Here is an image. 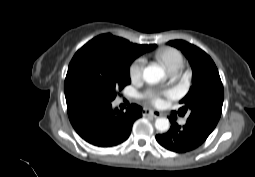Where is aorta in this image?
I'll return each mask as SVG.
<instances>
[{"label": "aorta", "mask_w": 255, "mask_h": 177, "mask_svg": "<svg viewBox=\"0 0 255 177\" xmlns=\"http://www.w3.org/2000/svg\"><path fill=\"white\" fill-rule=\"evenodd\" d=\"M165 77L164 70L155 65L148 66L143 71V79L147 83H157ZM155 128L159 132H166L170 128V122L167 118H157L155 121Z\"/></svg>", "instance_id": "obj_1"}]
</instances>
